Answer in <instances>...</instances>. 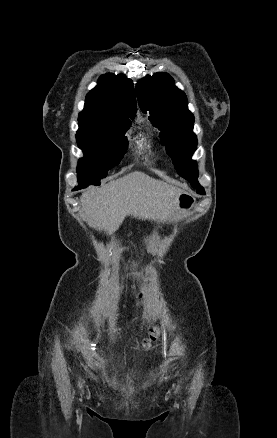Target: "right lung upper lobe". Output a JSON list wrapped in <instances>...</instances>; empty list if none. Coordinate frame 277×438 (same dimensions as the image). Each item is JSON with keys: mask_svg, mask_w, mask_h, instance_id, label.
<instances>
[{"mask_svg": "<svg viewBox=\"0 0 277 438\" xmlns=\"http://www.w3.org/2000/svg\"><path fill=\"white\" fill-rule=\"evenodd\" d=\"M137 111L134 86L124 75L105 74L85 100L79 124L106 126L128 121Z\"/></svg>", "mask_w": 277, "mask_h": 438, "instance_id": "right-lung-upper-lobe-1", "label": "right lung upper lobe"}]
</instances>
